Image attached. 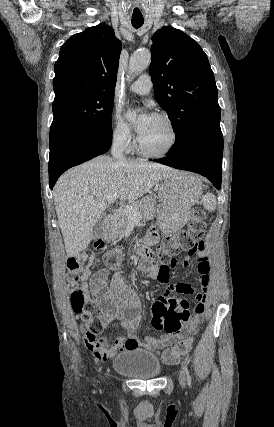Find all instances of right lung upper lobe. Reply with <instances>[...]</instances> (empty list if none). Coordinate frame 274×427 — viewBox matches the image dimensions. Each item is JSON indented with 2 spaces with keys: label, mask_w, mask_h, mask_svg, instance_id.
Returning a JSON list of instances; mask_svg holds the SVG:
<instances>
[{
  "label": "right lung upper lobe",
  "mask_w": 274,
  "mask_h": 427,
  "mask_svg": "<svg viewBox=\"0 0 274 427\" xmlns=\"http://www.w3.org/2000/svg\"><path fill=\"white\" fill-rule=\"evenodd\" d=\"M121 42L101 23L70 37L55 63L54 102L66 95H114Z\"/></svg>",
  "instance_id": "obj_1"
}]
</instances>
